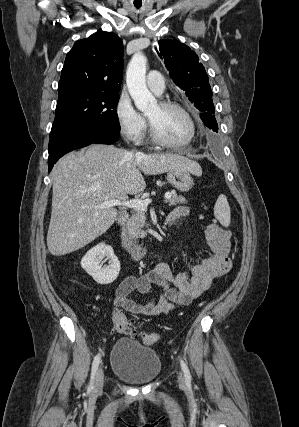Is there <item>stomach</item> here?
Listing matches in <instances>:
<instances>
[{"label": "stomach", "instance_id": "obj_1", "mask_svg": "<svg viewBox=\"0 0 299 427\" xmlns=\"http://www.w3.org/2000/svg\"><path fill=\"white\" fill-rule=\"evenodd\" d=\"M167 181L180 192L189 191L194 184L190 172L183 169L168 171Z\"/></svg>", "mask_w": 299, "mask_h": 427}]
</instances>
